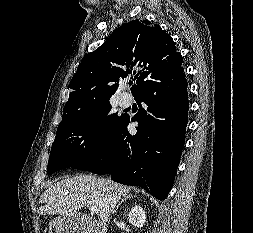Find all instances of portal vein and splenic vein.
<instances>
[{
    "instance_id": "18ae733b",
    "label": "portal vein and splenic vein",
    "mask_w": 253,
    "mask_h": 233,
    "mask_svg": "<svg viewBox=\"0 0 253 233\" xmlns=\"http://www.w3.org/2000/svg\"><path fill=\"white\" fill-rule=\"evenodd\" d=\"M90 211H91V213H98L99 210L96 206H91Z\"/></svg>"
}]
</instances>
